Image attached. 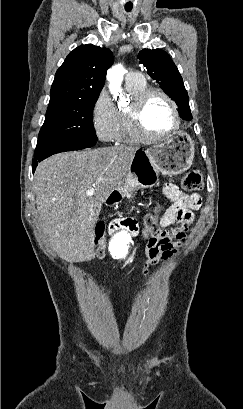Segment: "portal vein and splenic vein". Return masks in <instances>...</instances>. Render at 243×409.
Masks as SVG:
<instances>
[{"label":"portal vein and splenic vein","instance_id":"1","mask_svg":"<svg viewBox=\"0 0 243 409\" xmlns=\"http://www.w3.org/2000/svg\"><path fill=\"white\" fill-rule=\"evenodd\" d=\"M95 193V189L94 188H90L86 191V196L88 197H92Z\"/></svg>","mask_w":243,"mask_h":409}]
</instances>
